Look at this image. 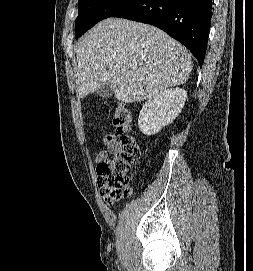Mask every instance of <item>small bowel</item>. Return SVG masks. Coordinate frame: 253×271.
I'll return each mask as SVG.
<instances>
[{
	"label": "small bowel",
	"instance_id": "small-bowel-1",
	"mask_svg": "<svg viewBox=\"0 0 253 271\" xmlns=\"http://www.w3.org/2000/svg\"><path fill=\"white\" fill-rule=\"evenodd\" d=\"M104 143L107 146V149L111 152H117L120 150V145L116 142V138L114 135H108L104 138ZM105 155V152H101L98 155V160L101 159Z\"/></svg>",
	"mask_w": 253,
	"mask_h": 271
}]
</instances>
